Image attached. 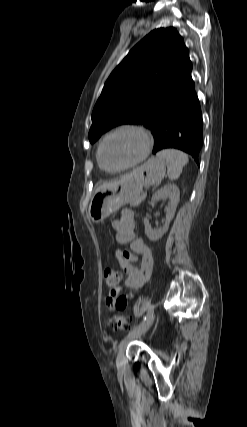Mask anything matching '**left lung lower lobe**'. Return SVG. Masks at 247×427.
I'll list each match as a JSON object with an SVG mask.
<instances>
[{
	"label": "left lung lower lobe",
	"mask_w": 247,
	"mask_h": 427,
	"mask_svg": "<svg viewBox=\"0 0 247 427\" xmlns=\"http://www.w3.org/2000/svg\"><path fill=\"white\" fill-rule=\"evenodd\" d=\"M202 114L192 82L170 97L155 116L150 129L156 140L152 153L166 148L190 154L199 165L203 143Z\"/></svg>",
	"instance_id": "1"
}]
</instances>
